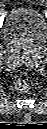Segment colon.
I'll use <instances>...</instances> for the list:
<instances>
[{
    "label": "colon",
    "instance_id": "colon-1",
    "mask_svg": "<svg viewBox=\"0 0 47 129\" xmlns=\"http://www.w3.org/2000/svg\"><path fill=\"white\" fill-rule=\"evenodd\" d=\"M30 87V79L28 76L24 75L18 78L15 82V88L19 92H27Z\"/></svg>",
    "mask_w": 47,
    "mask_h": 129
}]
</instances>
